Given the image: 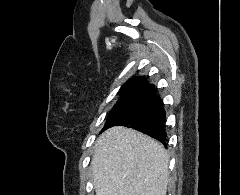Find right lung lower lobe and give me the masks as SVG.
I'll use <instances>...</instances> for the list:
<instances>
[{"mask_svg": "<svg viewBox=\"0 0 240 195\" xmlns=\"http://www.w3.org/2000/svg\"><path fill=\"white\" fill-rule=\"evenodd\" d=\"M165 118L161 99L156 95L155 90H153L139 108L113 126L134 128L165 144Z\"/></svg>", "mask_w": 240, "mask_h": 195, "instance_id": "1", "label": "right lung lower lobe"}]
</instances>
